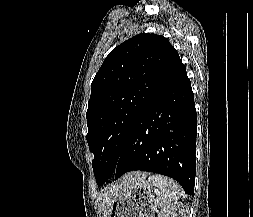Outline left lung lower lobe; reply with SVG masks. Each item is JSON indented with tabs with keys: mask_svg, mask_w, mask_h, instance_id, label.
Masks as SVG:
<instances>
[{
	"mask_svg": "<svg viewBox=\"0 0 253 217\" xmlns=\"http://www.w3.org/2000/svg\"><path fill=\"white\" fill-rule=\"evenodd\" d=\"M196 110L186 68L168 84L131 127L115 169V180L140 170L178 181L193 195L196 174Z\"/></svg>",
	"mask_w": 253,
	"mask_h": 217,
	"instance_id": "left-lung-lower-lobe-1",
	"label": "left lung lower lobe"
}]
</instances>
